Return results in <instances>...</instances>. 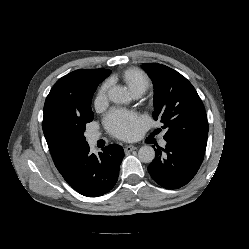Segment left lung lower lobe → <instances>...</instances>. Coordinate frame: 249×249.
I'll use <instances>...</instances> for the list:
<instances>
[{
    "label": "left lung lower lobe",
    "instance_id": "obj_1",
    "mask_svg": "<svg viewBox=\"0 0 249 249\" xmlns=\"http://www.w3.org/2000/svg\"><path fill=\"white\" fill-rule=\"evenodd\" d=\"M155 153L148 171L156 183L168 189L186 185L195 176L204 158L202 152L170 142L165 149H155Z\"/></svg>",
    "mask_w": 249,
    "mask_h": 249
}]
</instances>
